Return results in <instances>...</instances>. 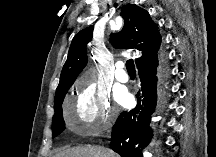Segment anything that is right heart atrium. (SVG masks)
Listing matches in <instances>:
<instances>
[{
  "mask_svg": "<svg viewBox=\"0 0 216 157\" xmlns=\"http://www.w3.org/2000/svg\"><path fill=\"white\" fill-rule=\"evenodd\" d=\"M117 115V109L104 90L90 81L78 83L75 111L69 119L75 132L91 135L108 127Z\"/></svg>",
  "mask_w": 216,
  "mask_h": 157,
  "instance_id": "right-heart-atrium-1",
  "label": "right heart atrium"
}]
</instances>
